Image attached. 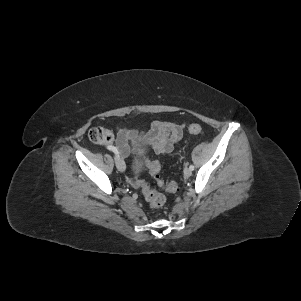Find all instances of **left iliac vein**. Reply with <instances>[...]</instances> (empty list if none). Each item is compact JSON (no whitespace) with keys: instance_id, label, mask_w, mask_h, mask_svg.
<instances>
[{"instance_id":"left-iliac-vein-1","label":"left iliac vein","mask_w":301,"mask_h":301,"mask_svg":"<svg viewBox=\"0 0 301 301\" xmlns=\"http://www.w3.org/2000/svg\"><path fill=\"white\" fill-rule=\"evenodd\" d=\"M192 175V171L190 170V168H185L184 169V176L185 177H190Z\"/></svg>"}]
</instances>
